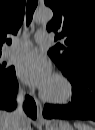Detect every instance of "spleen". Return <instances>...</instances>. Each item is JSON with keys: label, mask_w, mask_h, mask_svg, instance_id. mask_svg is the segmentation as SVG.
<instances>
[{"label": "spleen", "mask_w": 95, "mask_h": 130, "mask_svg": "<svg viewBox=\"0 0 95 130\" xmlns=\"http://www.w3.org/2000/svg\"><path fill=\"white\" fill-rule=\"evenodd\" d=\"M74 127L76 130H94L92 126H89L88 124L81 121L74 122Z\"/></svg>", "instance_id": "3e777b00"}]
</instances>
